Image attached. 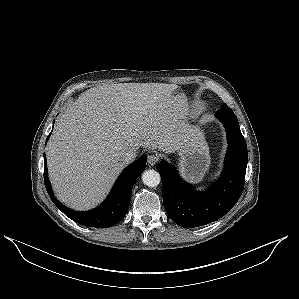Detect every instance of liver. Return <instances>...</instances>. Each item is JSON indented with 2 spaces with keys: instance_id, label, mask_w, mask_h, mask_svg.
I'll list each match as a JSON object with an SVG mask.
<instances>
[{
  "instance_id": "liver-1",
  "label": "liver",
  "mask_w": 299,
  "mask_h": 299,
  "mask_svg": "<svg viewBox=\"0 0 299 299\" xmlns=\"http://www.w3.org/2000/svg\"><path fill=\"white\" fill-rule=\"evenodd\" d=\"M178 86L119 83L82 93L57 121L47 146L56 196L75 210L97 206L126 167L123 153L152 148L171 153L192 134Z\"/></svg>"
}]
</instances>
